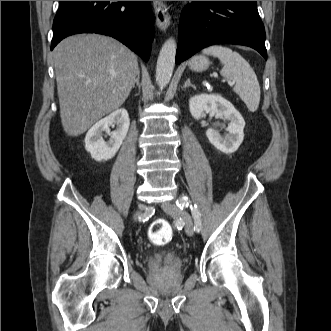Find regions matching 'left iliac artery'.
Wrapping results in <instances>:
<instances>
[{"label": "left iliac artery", "mask_w": 331, "mask_h": 331, "mask_svg": "<svg viewBox=\"0 0 331 331\" xmlns=\"http://www.w3.org/2000/svg\"><path fill=\"white\" fill-rule=\"evenodd\" d=\"M177 206L181 207H188L189 206V202H188V198L186 196H182V198L180 200H177L176 202ZM191 208V213L192 216L194 218V230L196 232H200L201 230V218H200V212L197 208L196 205H190Z\"/></svg>", "instance_id": "left-iliac-artery-1"}]
</instances>
